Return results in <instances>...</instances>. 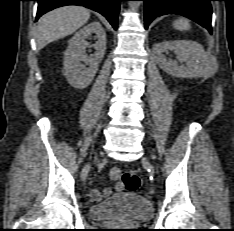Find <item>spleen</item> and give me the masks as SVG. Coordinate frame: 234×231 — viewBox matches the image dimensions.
<instances>
[{"instance_id":"1","label":"spleen","mask_w":234,"mask_h":231,"mask_svg":"<svg viewBox=\"0 0 234 231\" xmlns=\"http://www.w3.org/2000/svg\"><path fill=\"white\" fill-rule=\"evenodd\" d=\"M173 26L175 29L180 31H187L191 28L189 21L185 18H180L174 21Z\"/></svg>"}]
</instances>
